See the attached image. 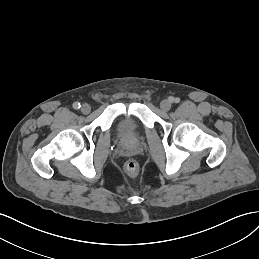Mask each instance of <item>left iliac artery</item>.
Returning a JSON list of instances; mask_svg holds the SVG:
<instances>
[{"label": "left iliac artery", "mask_w": 259, "mask_h": 259, "mask_svg": "<svg viewBox=\"0 0 259 259\" xmlns=\"http://www.w3.org/2000/svg\"><path fill=\"white\" fill-rule=\"evenodd\" d=\"M170 101L174 103H178L180 99L176 97V98H171Z\"/></svg>", "instance_id": "1"}]
</instances>
